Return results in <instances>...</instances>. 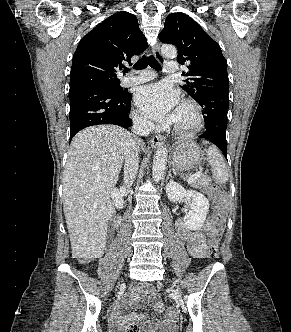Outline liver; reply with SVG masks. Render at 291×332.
I'll list each match as a JSON object with an SVG mask.
<instances>
[{"label": "liver", "instance_id": "1", "mask_svg": "<svg viewBox=\"0 0 291 332\" xmlns=\"http://www.w3.org/2000/svg\"><path fill=\"white\" fill-rule=\"evenodd\" d=\"M132 142L113 125L88 127L71 141L63 175L64 214L72 257H102L107 222L113 217L111 193Z\"/></svg>", "mask_w": 291, "mask_h": 332}]
</instances>
